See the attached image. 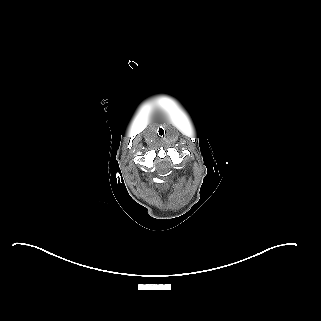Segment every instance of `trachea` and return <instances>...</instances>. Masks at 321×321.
I'll return each instance as SVG.
<instances>
[{"label": "trachea", "instance_id": "trachea-1", "mask_svg": "<svg viewBox=\"0 0 321 321\" xmlns=\"http://www.w3.org/2000/svg\"><path fill=\"white\" fill-rule=\"evenodd\" d=\"M157 130H158V132H159V134H158V135H159V137H161V138H162V137H164V136H165V134H166V133H165V131H163V130H164V129H163V127H161V126H160V127H158V129H157Z\"/></svg>", "mask_w": 321, "mask_h": 321}]
</instances>
